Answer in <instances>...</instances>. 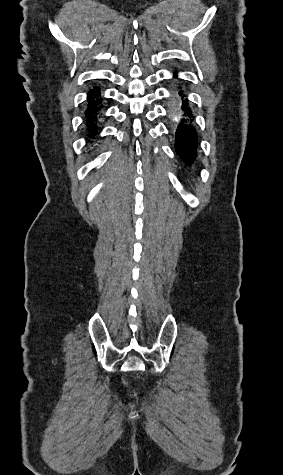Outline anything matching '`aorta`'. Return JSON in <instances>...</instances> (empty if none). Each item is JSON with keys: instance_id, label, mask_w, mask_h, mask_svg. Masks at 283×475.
Instances as JSON below:
<instances>
[{"instance_id": "aorta-1", "label": "aorta", "mask_w": 283, "mask_h": 475, "mask_svg": "<svg viewBox=\"0 0 283 475\" xmlns=\"http://www.w3.org/2000/svg\"><path fill=\"white\" fill-rule=\"evenodd\" d=\"M181 114L182 112L180 110V106L178 104L175 105V107H173L172 112H171L173 119L179 120L181 117Z\"/></svg>"}]
</instances>
